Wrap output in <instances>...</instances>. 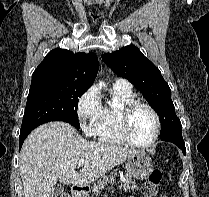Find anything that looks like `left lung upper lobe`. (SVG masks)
Here are the masks:
<instances>
[{
    "label": "left lung upper lobe",
    "instance_id": "left-lung-upper-lobe-1",
    "mask_svg": "<svg viewBox=\"0 0 209 197\" xmlns=\"http://www.w3.org/2000/svg\"><path fill=\"white\" fill-rule=\"evenodd\" d=\"M104 62L117 75L128 79L157 112L161 122L160 138L182 135V125L176 116L170 88L160 70L136 46L102 55Z\"/></svg>",
    "mask_w": 209,
    "mask_h": 197
}]
</instances>
